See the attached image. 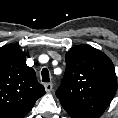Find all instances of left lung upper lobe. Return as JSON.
Wrapping results in <instances>:
<instances>
[{"label":"left lung upper lobe","mask_w":118,"mask_h":118,"mask_svg":"<svg viewBox=\"0 0 118 118\" xmlns=\"http://www.w3.org/2000/svg\"><path fill=\"white\" fill-rule=\"evenodd\" d=\"M66 72L56 92L72 118H98L111 100L117 80L112 61L100 50L77 45L66 54Z\"/></svg>","instance_id":"5c2ea615"}]
</instances>
